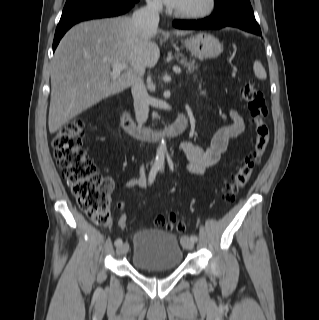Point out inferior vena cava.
Returning a JSON list of instances; mask_svg holds the SVG:
<instances>
[{"label": "inferior vena cava", "mask_w": 319, "mask_h": 320, "mask_svg": "<svg viewBox=\"0 0 319 320\" xmlns=\"http://www.w3.org/2000/svg\"><path fill=\"white\" fill-rule=\"evenodd\" d=\"M162 5L155 0H147V5L136 10L132 15V21L138 31L153 32L157 30L159 23V11ZM144 71L141 72L143 74ZM134 99L135 115L138 125L144 124L148 119L150 96L140 76H136L131 85Z\"/></svg>", "instance_id": "602c4592"}]
</instances>
